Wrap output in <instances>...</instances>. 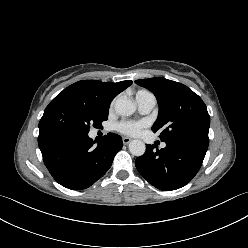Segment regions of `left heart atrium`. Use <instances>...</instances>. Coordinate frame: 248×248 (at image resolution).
I'll use <instances>...</instances> for the list:
<instances>
[{
    "mask_svg": "<svg viewBox=\"0 0 248 248\" xmlns=\"http://www.w3.org/2000/svg\"><path fill=\"white\" fill-rule=\"evenodd\" d=\"M145 123L142 121H122L117 125V130L126 135H138Z\"/></svg>",
    "mask_w": 248,
    "mask_h": 248,
    "instance_id": "left-heart-atrium-1",
    "label": "left heart atrium"
}]
</instances>
